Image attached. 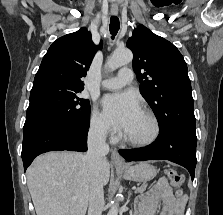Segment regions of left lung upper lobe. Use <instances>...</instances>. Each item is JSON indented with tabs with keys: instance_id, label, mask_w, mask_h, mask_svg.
Here are the masks:
<instances>
[{
	"instance_id": "5c2ea615",
	"label": "left lung upper lobe",
	"mask_w": 223,
	"mask_h": 215,
	"mask_svg": "<svg viewBox=\"0 0 223 215\" xmlns=\"http://www.w3.org/2000/svg\"><path fill=\"white\" fill-rule=\"evenodd\" d=\"M140 92L154 111L160 132L175 127L196 128L187 65L166 39L139 25L128 39Z\"/></svg>"
}]
</instances>
